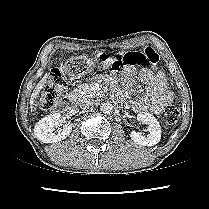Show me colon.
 Returning a JSON list of instances; mask_svg holds the SVG:
<instances>
[{
  "label": "colon",
  "instance_id": "1",
  "mask_svg": "<svg viewBox=\"0 0 209 209\" xmlns=\"http://www.w3.org/2000/svg\"><path fill=\"white\" fill-rule=\"evenodd\" d=\"M81 59V58H79ZM159 55L152 47H146L138 52H114L101 56L102 64L95 66H108L113 71L125 70L128 66L142 64L156 65L159 62ZM67 86L64 73L59 69H53L50 80L37 97V106L42 110L53 108L60 100V97ZM180 112L177 107L170 106L165 109L163 120L166 125H174L179 121Z\"/></svg>",
  "mask_w": 209,
  "mask_h": 209
}]
</instances>
